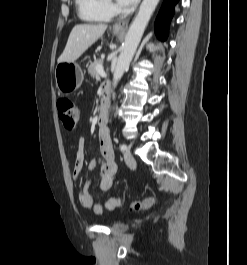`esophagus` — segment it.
Returning <instances> with one entry per match:
<instances>
[{"mask_svg":"<svg viewBox=\"0 0 247 265\" xmlns=\"http://www.w3.org/2000/svg\"><path fill=\"white\" fill-rule=\"evenodd\" d=\"M128 24H129V20L128 19L119 21L116 24H114L113 30L116 31V32L124 33V32H126V30L128 28Z\"/></svg>","mask_w":247,"mask_h":265,"instance_id":"1","label":"esophagus"}]
</instances>
